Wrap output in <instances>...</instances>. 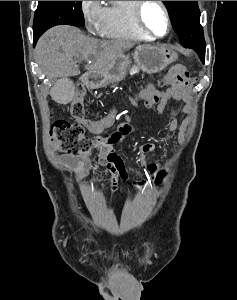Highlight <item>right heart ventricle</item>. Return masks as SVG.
I'll return each mask as SVG.
<instances>
[{"mask_svg": "<svg viewBox=\"0 0 237 300\" xmlns=\"http://www.w3.org/2000/svg\"><path fill=\"white\" fill-rule=\"evenodd\" d=\"M137 1H110L106 7L102 33L106 36L147 38L135 16Z\"/></svg>", "mask_w": 237, "mask_h": 300, "instance_id": "1", "label": "right heart ventricle"}]
</instances>
